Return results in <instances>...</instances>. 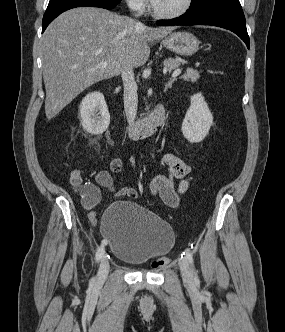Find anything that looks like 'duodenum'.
<instances>
[{
  "mask_svg": "<svg viewBox=\"0 0 285 332\" xmlns=\"http://www.w3.org/2000/svg\"><path fill=\"white\" fill-rule=\"evenodd\" d=\"M165 122L164 108L159 105L152 115L142 121L128 126L127 131L132 138L142 139L153 135Z\"/></svg>",
  "mask_w": 285,
  "mask_h": 332,
  "instance_id": "1",
  "label": "duodenum"
}]
</instances>
